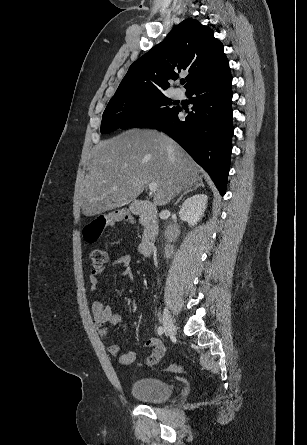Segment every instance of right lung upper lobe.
Segmentation results:
<instances>
[{"instance_id":"cb5924a9","label":"right lung upper lobe","mask_w":307,"mask_h":445,"mask_svg":"<svg viewBox=\"0 0 307 445\" xmlns=\"http://www.w3.org/2000/svg\"><path fill=\"white\" fill-rule=\"evenodd\" d=\"M226 63L223 44L212 29L195 19H185L130 66L112 99L163 94L170 86L168 80L178 79L183 70L189 71L185 85L189 89Z\"/></svg>"}]
</instances>
